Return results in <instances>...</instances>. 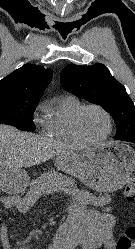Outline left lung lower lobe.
Instances as JSON below:
<instances>
[{
    "instance_id": "1",
    "label": "left lung lower lobe",
    "mask_w": 135,
    "mask_h": 249,
    "mask_svg": "<svg viewBox=\"0 0 135 249\" xmlns=\"http://www.w3.org/2000/svg\"><path fill=\"white\" fill-rule=\"evenodd\" d=\"M129 142L135 143V139H132V140H131V141H129Z\"/></svg>"
}]
</instances>
